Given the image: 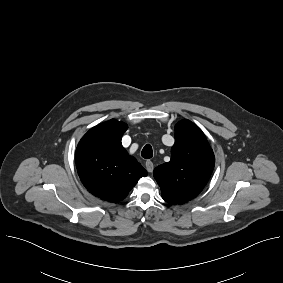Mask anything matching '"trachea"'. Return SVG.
<instances>
[{"label":"trachea","mask_w":283,"mask_h":283,"mask_svg":"<svg viewBox=\"0 0 283 283\" xmlns=\"http://www.w3.org/2000/svg\"><path fill=\"white\" fill-rule=\"evenodd\" d=\"M141 156L145 159H150L153 156V150L151 145L147 144L144 146L141 152Z\"/></svg>","instance_id":"obj_1"}]
</instances>
